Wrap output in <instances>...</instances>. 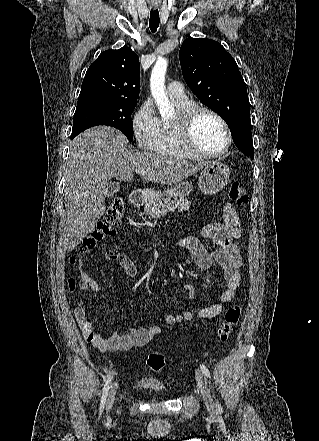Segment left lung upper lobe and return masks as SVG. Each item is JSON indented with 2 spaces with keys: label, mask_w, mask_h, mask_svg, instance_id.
<instances>
[{
  "label": "left lung upper lobe",
  "mask_w": 319,
  "mask_h": 441,
  "mask_svg": "<svg viewBox=\"0 0 319 441\" xmlns=\"http://www.w3.org/2000/svg\"><path fill=\"white\" fill-rule=\"evenodd\" d=\"M179 57L188 86L224 119L237 148L253 159L250 103L233 57L216 41L191 37L182 43Z\"/></svg>",
  "instance_id": "obj_1"
}]
</instances>
